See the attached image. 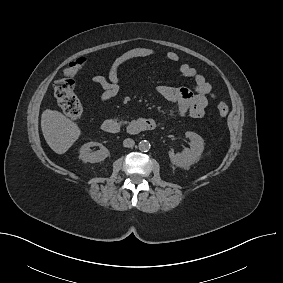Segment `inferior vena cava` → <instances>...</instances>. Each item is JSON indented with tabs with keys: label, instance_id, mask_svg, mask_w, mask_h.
Returning <instances> with one entry per match:
<instances>
[{
	"label": "inferior vena cava",
	"instance_id": "inferior-vena-cava-1",
	"mask_svg": "<svg viewBox=\"0 0 283 283\" xmlns=\"http://www.w3.org/2000/svg\"><path fill=\"white\" fill-rule=\"evenodd\" d=\"M135 145V142L131 138H127L123 141V146L127 148H132Z\"/></svg>",
	"mask_w": 283,
	"mask_h": 283
}]
</instances>
